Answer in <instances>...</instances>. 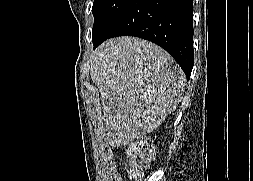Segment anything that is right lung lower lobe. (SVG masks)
<instances>
[{"label": "right lung lower lobe", "instance_id": "right-lung-lower-lobe-1", "mask_svg": "<svg viewBox=\"0 0 253 181\" xmlns=\"http://www.w3.org/2000/svg\"><path fill=\"white\" fill-rule=\"evenodd\" d=\"M192 0H132L106 29L92 36L94 48L108 38L130 35L168 51L189 79L194 63Z\"/></svg>", "mask_w": 253, "mask_h": 181}]
</instances>
